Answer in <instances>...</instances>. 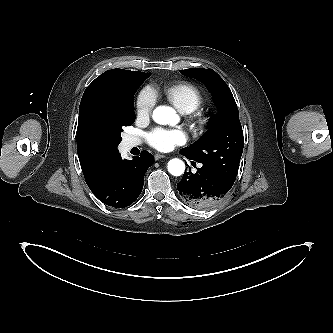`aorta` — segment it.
<instances>
[{
  "label": "aorta",
  "instance_id": "762f6f07",
  "mask_svg": "<svg viewBox=\"0 0 333 333\" xmlns=\"http://www.w3.org/2000/svg\"><path fill=\"white\" fill-rule=\"evenodd\" d=\"M153 120L161 125H175L179 121V117L175 110L169 106H158L152 114ZM168 171L174 176H180L185 171V164L182 160L174 158L168 162Z\"/></svg>",
  "mask_w": 333,
  "mask_h": 333
}]
</instances>
